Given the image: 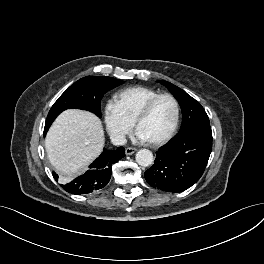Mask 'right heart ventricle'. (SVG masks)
Wrapping results in <instances>:
<instances>
[{
  "mask_svg": "<svg viewBox=\"0 0 264 264\" xmlns=\"http://www.w3.org/2000/svg\"><path fill=\"white\" fill-rule=\"evenodd\" d=\"M157 94L159 91L153 88L135 86L119 91L114 98L122 113L134 122L146 102Z\"/></svg>",
  "mask_w": 264,
  "mask_h": 264,
  "instance_id": "e07e8e85",
  "label": "right heart ventricle"
}]
</instances>
